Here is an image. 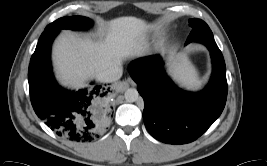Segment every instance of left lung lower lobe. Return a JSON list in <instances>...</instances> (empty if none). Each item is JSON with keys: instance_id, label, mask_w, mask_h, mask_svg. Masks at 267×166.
<instances>
[{"instance_id": "left-lung-lower-lobe-1", "label": "left lung lower lobe", "mask_w": 267, "mask_h": 166, "mask_svg": "<svg viewBox=\"0 0 267 166\" xmlns=\"http://www.w3.org/2000/svg\"><path fill=\"white\" fill-rule=\"evenodd\" d=\"M193 41L207 46L213 63L211 80L199 93L178 88L164 73L159 56L129 64V73L144 99V124L154 138L164 143L196 140L216 121L226 103V66L213 34H203Z\"/></svg>"}]
</instances>
